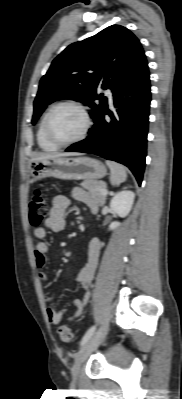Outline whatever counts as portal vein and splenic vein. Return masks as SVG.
I'll return each instance as SVG.
<instances>
[{
  "label": "portal vein and splenic vein",
  "mask_w": 182,
  "mask_h": 399,
  "mask_svg": "<svg viewBox=\"0 0 182 399\" xmlns=\"http://www.w3.org/2000/svg\"><path fill=\"white\" fill-rule=\"evenodd\" d=\"M103 194L106 195V194H107V190H104V191H103Z\"/></svg>",
  "instance_id": "portal-vein-and-splenic-vein-1"
}]
</instances>
